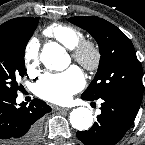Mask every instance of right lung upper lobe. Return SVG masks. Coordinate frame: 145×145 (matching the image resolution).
Instances as JSON below:
<instances>
[{"mask_svg": "<svg viewBox=\"0 0 145 145\" xmlns=\"http://www.w3.org/2000/svg\"><path fill=\"white\" fill-rule=\"evenodd\" d=\"M35 19L33 17H19L11 19L0 25V36L14 35L27 28Z\"/></svg>", "mask_w": 145, "mask_h": 145, "instance_id": "obj_1", "label": "right lung upper lobe"}]
</instances>
